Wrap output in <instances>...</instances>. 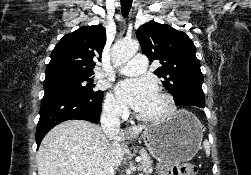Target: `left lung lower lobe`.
Segmentation results:
<instances>
[{"instance_id":"left-lung-lower-lobe-1","label":"left lung lower lobe","mask_w":251,"mask_h":175,"mask_svg":"<svg viewBox=\"0 0 251 175\" xmlns=\"http://www.w3.org/2000/svg\"><path fill=\"white\" fill-rule=\"evenodd\" d=\"M177 106L184 109V113L189 118H196L202 115L205 102L193 99H179L175 100Z\"/></svg>"}]
</instances>
